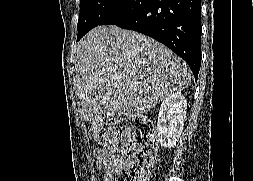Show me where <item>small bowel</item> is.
I'll return each instance as SVG.
<instances>
[{"mask_svg": "<svg viewBox=\"0 0 253 181\" xmlns=\"http://www.w3.org/2000/svg\"><path fill=\"white\" fill-rule=\"evenodd\" d=\"M94 157L96 158V166L99 171H105L107 169H114L119 166L120 160L117 156V149L109 148H97L94 151ZM110 173H106L105 181Z\"/></svg>", "mask_w": 253, "mask_h": 181, "instance_id": "1", "label": "small bowel"}]
</instances>
